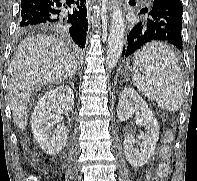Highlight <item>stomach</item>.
<instances>
[{"label": "stomach", "mask_w": 197, "mask_h": 181, "mask_svg": "<svg viewBox=\"0 0 197 181\" xmlns=\"http://www.w3.org/2000/svg\"><path fill=\"white\" fill-rule=\"evenodd\" d=\"M126 70H129V71H131V72H135L136 71V69L133 67H131V66H129V65H127V67H126Z\"/></svg>", "instance_id": "stomach-1"}]
</instances>
